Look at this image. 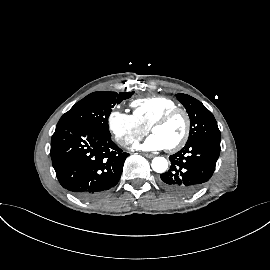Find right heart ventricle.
I'll return each instance as SVG.
<instances>
[{"instance_id": "right-heart-ventricle-1", "label": "right heart ventricle", "mask_w": 270, "mask_h": 270, "mask_svg": "<svg viewBox=\"0 0 270 270\" xmlns=\"http://www.w3.org/2000/svg\"><path fill=\"white\" fill-rule=\"evenodd\" d=\"M131 106L133 115L148 128L155 119L164 112L178 107V104L171 98L157 95L135 99L131 102Z\"/></svg>"}]
</instances>
